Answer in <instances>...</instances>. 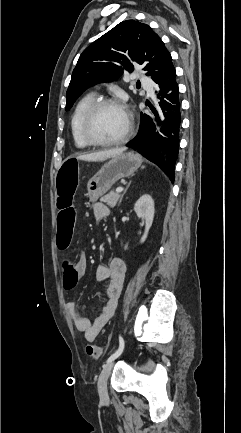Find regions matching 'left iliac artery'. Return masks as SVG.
<instances>
[{
	"label": "left iliac artery",
	"instance_id": "44dca946",
	"mask_svg": "<svg viewBox=\"0 0 241 433\" xmlns=\"http://www.w3.org/2000/svg\"><path fill=\"white\" fill-rule=\"evenodd\" d=\"M124 339L121 335H119V348L117 349V351L112 354L106 361V363H109L111 361H113L114 359H116L118 356H120V354L123 352L124 349Z\"/></svg>",
	"mask_w": 241,
	"mask_h": 433
}]
</instances>
